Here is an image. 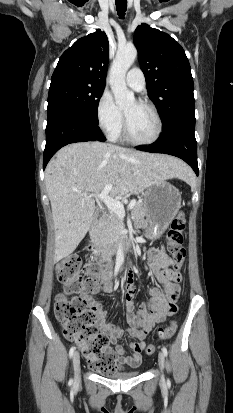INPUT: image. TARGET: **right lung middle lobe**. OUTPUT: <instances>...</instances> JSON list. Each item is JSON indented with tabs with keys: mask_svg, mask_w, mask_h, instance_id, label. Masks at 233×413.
I'll return each mask as SVG.
<instances>
[{
	"mask_svg": "<svg viewBox=\"0 0 233 413\" xmlns=\"http://www.w3.org/2000/svg\"><path fill=\"white\" fill-rule=\"evenodd\" d=\"M104 86L76 80H62L50 84L47 115L68 111L98 123L97 106Z\"/></svg>",
	"mask_w": 233,
	"mask_h": 413,
	"instance_id": "dd1d6c3e",
	"label": "right lung middle lobe"
}]
</instances>
